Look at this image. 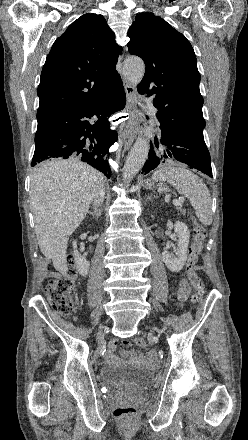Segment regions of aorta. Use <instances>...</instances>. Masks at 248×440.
I'll list each match as a JSON object with an SVG mask.
<instances>
[{
	"label": "aorta",
	"instance_id": "aorta-1",
	"mask_svg": "<svg viewBox=\"0 0 248 440\" xmlns=\"http://www.w3.org/2000/svg\"><path fill=\"white\" fill-rule=\"evenodd\" d=\"M145 73V64L142 59L130 57L125 60L123 74L133 85H138ZM149 152V143L146 138L138 137L131 149L123 167L122 178L125 184L129 183L143 167Z\"/></svg>",
	"mask_w": 248,
	"mask_h": 440
}]
</instances>
